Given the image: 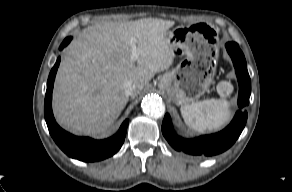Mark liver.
<instances>
[{"label":"liver","instance_id":"1","mask_svg":"<svg viewBox=\"0 0 292 192\" xmlns=\"http://www.w3.org/2000/svg\"><path fill=\"white\" fill-rule=\"evenodd\" d=\"M173 25L170 20L143 18L85 28L69 46L57 72L53 92L57 122L87 135L106 131L128 102L122 84L132 81L136 96L156 73L172 65L175 53L167 31ZM132 41L139 50L135 61Z\"/></svg>","mask_w":292,"mask_h":192}]
</instances>
